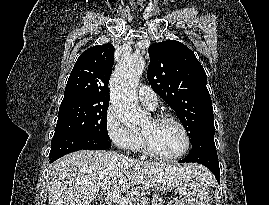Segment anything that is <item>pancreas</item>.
I'll return each mask as SVG.
<instances>
[{
	"instance_id": "obj_1",
	"label": "pancreas",
	"mask_w": 269,
	"mask_h": 205,
	"mask_svg": "<svg viewBox=\"0 0 269 205\" xmlns=\"http://www.w3.org/2000/svg\"><path fill=\"white\" fill-rule=\"evenodd\" d=\"M133 202H135L134 205H149L146 198L141 197L139 195H135L132 198H130ZM152 205H162V203H155Z\"/></svg>"
}]
</instances>
